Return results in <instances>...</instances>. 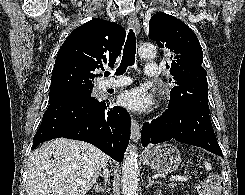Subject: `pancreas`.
<instances>
[{
  "mask_svg": "<svg viewBox=\"0 0 245 195\" xmlns=\"http://www.w3.org/2000/svg\"><path fill=\"white\" fill-rule=\"evenodd\" d=\"M170 186H171V187H175L176 185H174V184H171Z\"/></svg>",
  "mask_w": 245,
  "mask_h": 195,
  "instance_id": "1",
  "label": "pancreas"
}]
</instances>
